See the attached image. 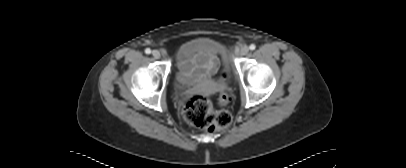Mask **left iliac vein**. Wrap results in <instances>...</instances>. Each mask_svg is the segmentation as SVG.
Masks as SVG:
<instances>
[{
  "label": "left iliac vein",
  "mask_w": 406,
  "mask_h": 168,
  "mask_svg": "<svg viewBox=\"0 0 406 168\" xmlns=\"http://www.w3.org/2000/svg\"><path fill=\"white\" fill-rule=\"evenodd\" d=\"M248 52H249V48H248L247 46H243V47L241 48V50H240V55H241V56H245V55L248 54Z\"/></svg>",
  "instance_id": "1"
}]
</instances>
